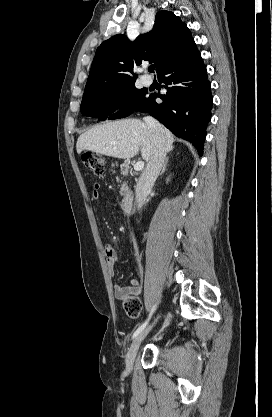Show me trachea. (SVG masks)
<instances>
[{
	"instance_id": "trachea-1",
	"label": "trachea",
	"mask_w": 272,
	"mask_h": 417,
	"mask_svg": "<svg viewBox=\"0 0 272 417\" xmlns=\"http://www.w3.org/2000/svg\"><path fill=\"white\" fill-rule=\"evenodd\" d=\"M154 69H155V67H154V65H152V66H150V67L148 68V71L153 73V72H154Z\"/></svg>"
}]
</instances>
